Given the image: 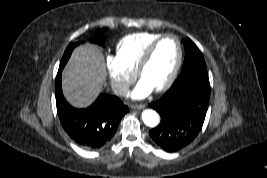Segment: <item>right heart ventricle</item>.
<instances>
[{"instance_id": "right-heart-ventricle-1", "label": "right heart ventricle", "mask_w": 267, "mask_h": 178, "mask_svg": "<svg viewBox=\"0 0 267 178\" xmlns=\"http://www.w3.org/2000/svg\"><path fill=\"white\" fill-rule=\"evenodd\" d=\"M162 35L158 32H139L127 35L116 45V58L126 69L135 73L138 62L147 47Z\"/></svg>"}]
</instances>
